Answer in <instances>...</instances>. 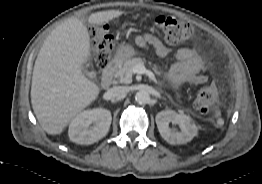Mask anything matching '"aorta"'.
I'll list each match as a JSON object with an SVG mask.
<instances>
[{"label": "aorta", "mask_w": 262, "mask_h": 184, "mask_svg": "<svg viewBox=\"0 0 262 184\" xmlns=\"http://www.w3.org/2000/svg\"><path fill=\"white\" fill-rule=\"evenodd\" d=\"M135 100L139 104H146L150 101V95L146 90H140L136 93Z\"/></svg>", "instance_id": "1"}]
</instances>
